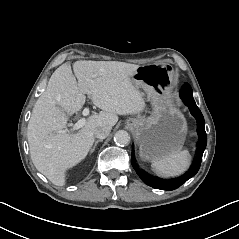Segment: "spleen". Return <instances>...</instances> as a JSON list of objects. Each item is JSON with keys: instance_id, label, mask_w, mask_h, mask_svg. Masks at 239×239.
I'll list each match as a JSON object with an SVG mask.
<instances>
[{"instance_id": "spleen-1", "label": "spleen", "mask_w": 239, "mask_h": 239, "mask_svg": "<svg viewBox=\"0 0 239 239\" xmlns=\"http://www.w3.org/2000/svg\"><path fill=\"white\" fill-rule=\"evenodd\" d=\"M191 164V155L187 150L170 154L166 158L153 162L152 170L161 177H175L185 173Z\"/></svg>"}]
</instances>
